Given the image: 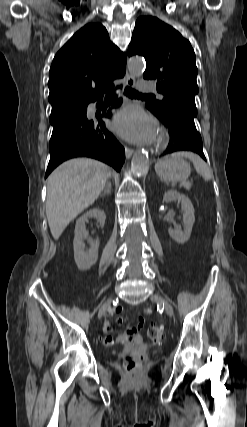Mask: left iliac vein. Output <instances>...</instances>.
<instances>
[{"mask_svg":"<svg viewBox=\"0 0 247 427\" xmlns=\"http://www.w3.org/2000/svg\"><path fill=\"white\" fill-rule=\"evenodd\" d=\"M151 300L153 302H157V303L163 304L167 315L170 316V317L173 316V308H172L171 304L162 295H160V294H152L151 295Z\"/></svg>","mask_w":247,"mask_h":427,"instance_id":"1","label":"left iliac vein"}]
</instances>
